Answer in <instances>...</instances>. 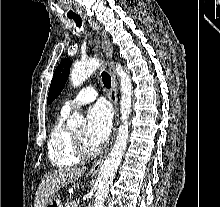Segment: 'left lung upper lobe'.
Here are the masks:
<instances>
[{"instance_id":"5c2ea615","label":"left lung upper lobe","mask_w":220,"mask_h":207,"mask_svg":"<svg viewBox=\"0 0 220 207\" xmlns=\"http://www.w3.org/2000/svg\"><path fill=\"white\" fill-rule=\"evenodd\" d=\"M70 67L71 60L64 59L56 68L49 88L48 103H51L55 98H57L63 90L69 76Z\"/></svg>"}]
</instances>
